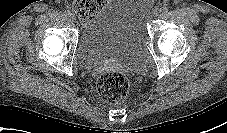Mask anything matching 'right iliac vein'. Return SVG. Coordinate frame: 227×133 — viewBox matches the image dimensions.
<instances>
[{"mask_svg": "<svg viewBox=\"0 0 227 133\" xmlns=\"http://www.w3.org/2000/svg\"><path fill=\"white\" fill-rule=\"evenodd\" d=\"M69 17H70L72 22H75L76 18H75V16L73 14H71Z\"/></svg>", "mask_w": 227, "mask_h": 133, "instance_id": "right-iliac-vein-1", "label": "right iliac vein"}]
</instances>
